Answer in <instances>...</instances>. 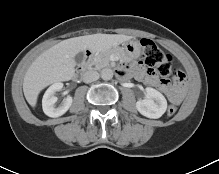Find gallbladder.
I'll return each mask as SVG.
<instances>
[{
    "label": "gallbladder",
    "mask_w": 219,
    "mask_h": 174,
    "mask_svg": "<svg viewBox=\"0 0 219 174\" xmlns=\"http://www.w3.org/2000/svg\"><path fill=\"white\" fill-rule=\"evenodd\" d=\"M83 58H84V54L83 53H78L76 56H75V61L77 64H80L82 61H83Z\"/></svg>",
    "instance_id": "obj_1"
}]
</instances>
